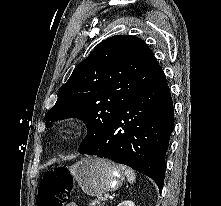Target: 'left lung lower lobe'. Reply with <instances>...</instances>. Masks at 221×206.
<instances>
[{
  "mask_svg": "<svg viewBox=\"0 0 221 206\" xmlns=\"http://www.w3.org/2000/svg\"><path fill=\"white\" fill-rule=\"evenodd\" d=\"M173 129V102L163 74L133 97L107 131L79 153L128 165L152 178L161 191Z\"/></svg>",
  "mask_w": 221,
  "mask_h": 206,
  "instance_id": "obj_1",
  "label": "left lung lower lobe"
}]
</instances>
